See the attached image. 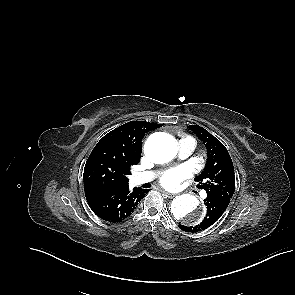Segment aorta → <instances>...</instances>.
<instances>
[{"instance_id": "obj_1", "label": "aorta", "mask_w": 295, "mask_h": 295, "mask_svg": "<svg viewBox=\"0 0 295 295\" xmlns=\"http://www.w3.org/2000/svg\"><path fill=\"white\" fill-rule=\"evenodd\" d=\"M177 142L169 134L156 132L145 142L144 152L155 163L163 164L171 161L177 154ZM199 200L191 194H183L174 198L171 213L176 220L189 225H196L202 220V213H196Z\"/></svg>"}]
</instances>
